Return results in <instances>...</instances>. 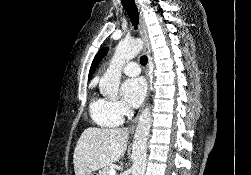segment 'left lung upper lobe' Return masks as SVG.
Listing matches in <instances>:
<instances>
[{
	"instance_id": "1",
	"label": "left lung upper lobe",
	"mask_w": 251,
	"mask_h": 175,
	"mask_svg": "<svg viewBox=\"0 0 251 175\" xmlns=\"http://www.w3.org/2000/svg\"><path fill=\"white\" fill-rule=\"evenodd\" d=\"M108 49L107 48H102L98 54L95 56L91 68H90V72H89V78L91 77V75L94 73L96 67L98 66V63L101 61V59L104 57V55L107 53Z\"/></svg>"
}]
</instances>
